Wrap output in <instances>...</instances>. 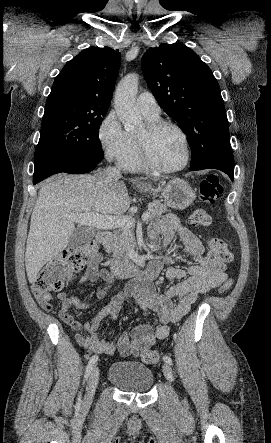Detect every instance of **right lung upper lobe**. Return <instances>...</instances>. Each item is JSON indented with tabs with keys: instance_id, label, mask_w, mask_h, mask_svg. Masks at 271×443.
I'll return each instance as SVG.
<instances>
[{
	"instance_id": "obj_1",
	"label": "right lung upper lobe",
	"mask_w": 271,
	"mask_h": 443,
	"mask_svg": "<svg viewBox=\"0 0 271 443\" xmlns=\"http://www.w3.org/2000/svg\"><path fill=\"white\" fill-rule=\"evenodd\" d=\"M119 67L120 53L109 47L81 51L56 76L46 104L67 101L107 111Z\"/></svg>"
}]
</instances>
